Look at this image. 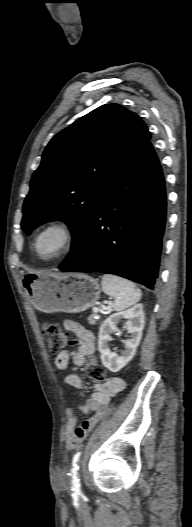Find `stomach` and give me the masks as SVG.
Masks as SVG:
<instances>
[{
  "label": "stomach",
  "instance_id": "1",
  "mask_svg": "<svg viewBox=\"0 0 192 527\" xmlns=\"http://www.w3.org/2000/svg\"><path fill=\"white\" fill-rule=\"evenodd\" d=\"M33 306L45 313H79L100 298L97 279L81 273H35L24 278Z\"/></svg>",
  "mask_w": 192,
  "mask_h": 527
}]
</instances>
